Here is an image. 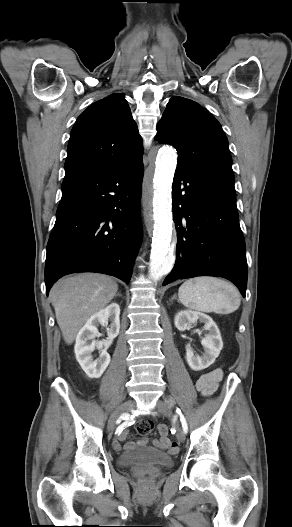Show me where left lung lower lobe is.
I'll return each mask as SVG.
<instances>
[{
    "mask_svg": "<svg viewBox=\"0 0 292 527\" xmlns=\"http://www.w3.org/2000/svg\"><path fill=\"white\" fill-rule=\"evenodd\" d=\"M172 198L176 263L163 285L218 276L232 281L245 297L247 262L234 182L176 169Z\"/></svg>",
    "mask_w": 292,
    "mask_h": 527,
    "instance_id": "1",
    "label": "left lung lower lobe"
}]
</instances>
